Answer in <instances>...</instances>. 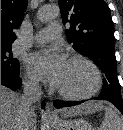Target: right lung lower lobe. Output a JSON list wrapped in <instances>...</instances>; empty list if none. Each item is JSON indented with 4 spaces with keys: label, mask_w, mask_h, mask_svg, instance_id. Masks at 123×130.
Returning <instances> with one entry per match:
<instances>
[{
    "label": "right lung lower lobe",
    "mask_w": 123,
    "mask_h": 130,
    "mask_svg": "<svg viewBox=\"0 0 123 130\" xmlns=\"http://www.w3.org/2000/svg\"><path fill=\"white\" fill-rule=\"evenodd\" d=\"M1 85H4L13 90L20 88L21 79L19 77V74H14L6 70H1ZM44 106L45 104L42 103V107Z\"/></svg>",
    "instance_id": "right-lung-lower-lobe-1"
}]
</instances>
